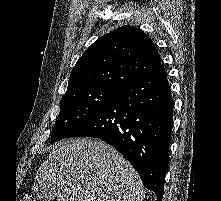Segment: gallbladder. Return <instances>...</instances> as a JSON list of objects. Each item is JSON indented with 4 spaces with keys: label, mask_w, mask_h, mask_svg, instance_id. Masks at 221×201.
<instances>
[{
    "label": "gallbladder",
    "mask_w": 221,
    "mask_h": 201,
    "mask_svg": "<svg viewBox=\"0 0 221 201\" xmlns=\"http://www.w3.org/2000/svg\"><path fill=\"white\" fill-rule=\"evenodd\" d=\"M39 201H53L56 197L55 193L52 190L41 189L37 193Z\"/></svg>",
    "instance_id": "obj_1"
}]
</instances>
